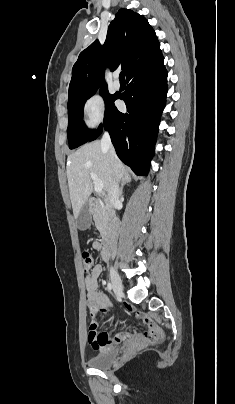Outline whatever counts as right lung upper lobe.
Listing matches in <instances>:
<instances>
[{
    "label": "right lung upper lobe",
    "instance_id": "right-lung-upper-lobe-1",
    "mask_svg": "<svg viewBox=\"0 0 235 404\" xmlns=\"http://www.w3.org/2000/svg\"><path fill=\"white\" fill-rule=\"evenodd\" d=\"M162 57L160 43L148 21L129 9H120L108 27L103 46L95 40L82 51L72 69L68 102L95 93L104 82L105 66L122 65L126 77Z\"/></svg>",
    "mask_w": 235,
    "mask_h": 404
}]
</instances>
